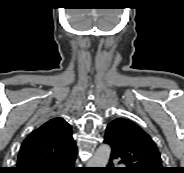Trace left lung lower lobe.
Here are the masks:
<instances>
[{"label":"left lung lower lobe","mask_w":184,"mask_h":173,"mask_svg":"<svg viewBox=\"0 0 184 173\" xmlns=\"http://www.w3.org/2000/svg\"><path fill=\"white\" fill-rule=\"evenodd\" d=\"M117 157L114 156L111 153L110 159H116ZM102 173H129L128 171H126L124 168H115L112 165H110L109 167H106L105 169H103L101 171Z\"/></svg>","instance_id":"obj_1"}]
</instances>
